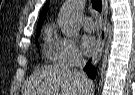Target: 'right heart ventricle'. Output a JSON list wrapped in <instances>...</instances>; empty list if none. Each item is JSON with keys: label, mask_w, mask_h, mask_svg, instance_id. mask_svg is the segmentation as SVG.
Instances as JSON below:
<instances>
[{"label": "right heart ventricle", "mask_w": 135, "mask_h": 95, "mask_svg": "<svg viewBox=\"0 0 135 95\" xmlns=\"http://www.w3.org/2000/svg\"><path fill=\"white\" fill-rule=\"evenodd\" d=\"M52 32H53L52 26H46L45 27V29H44V36H45V38H46V40H47V42L49 44V46L46 48V53H47V55L49 57H51L50 56V44H51V41H52V39H51Z\"/></svg>", "instance_id": "obj_1"}]
</instances>
